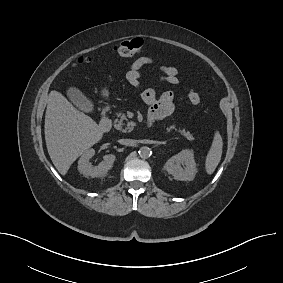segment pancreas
<instances>
[{
    "instance_id": "obj_1",
    "label": "pancreas",
    "mask_w": 283,
    "mask_h": 283,
    "mask_svg": "<svg viewBox=\"0 0 283 283\" xmlns=\"http://www.w3.org/2000/svg\"><path fill=\"white\" fill-rule=\"evenodd\" d=\"M116 115H117L118 118H116L114 120V127H115V129L120 130L122 132L130 131V130L133 129V126H134L133 122H128L127 123V127L123 128V125L125 124L124 121L127 120V118H126L124 113L119 112ZM166 130L168 132H170L172 130L178 131L186 139H188L190 141L194 140L193 135L189 131H186L185 129H177L175 125H171V126L167 127Z\"/></svg>"
}]
</instances>
